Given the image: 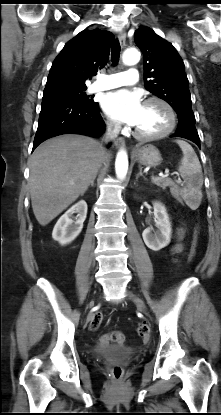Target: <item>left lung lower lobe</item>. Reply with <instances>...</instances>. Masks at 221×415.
Masks as SVG:
<instances>
[{"instance_id": "left-lung-lower-lobe-1", "label": "left lung lower lobe", "mask_w": 221, "mask_h": 415, "mask_svg": "<svg viewBox=\"0 0 221 415\" xmlns=\"http://www.w3.org/2000/svg\"><path fill=\"white\" fill-rule=\"evenodd\" d=\"M171 137H182L194 142L200 148V139L195 128L194 119L179 120L176 132Z\"/></svg>"}]
</instances>
